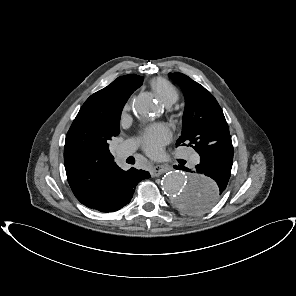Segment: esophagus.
I'll return each mask as SVG.
<instances>
[{"instance_id":"1","label":"esophagus","mask_w":296,"mask_h":296,"mask_svg":"<svg viewBox=\"0 0 296 296\" xmlns=\"http://www.w3.org/2000/svg\"><path fill=\"white\" fill-rule=\"evenodd\" d=\"M169 167L164 165H156L150 170V174L152 177H157L167 171H169Z\"/></svg>"}]
</instances>
